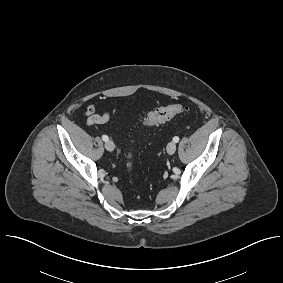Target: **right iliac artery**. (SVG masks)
<instances>
[{
	"label": "right iliac artery",
	"mask_w": 283,
	"mask_h": 283,
	"mask_svg": "<svg viewBox=\"0 0 283 283\" xmlns=\"http://www.w3.org/2000/svg\"><path fill=\"white\" fill-rule=\"evenodd\" d=\"M102 140H103V141H108V140H109V138H108V136H107V135H103V136H102Z\"/></svg>",
	"instance_id": "right-iliac-artery-1"
}]
</instances>
